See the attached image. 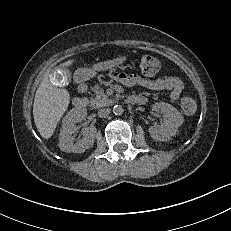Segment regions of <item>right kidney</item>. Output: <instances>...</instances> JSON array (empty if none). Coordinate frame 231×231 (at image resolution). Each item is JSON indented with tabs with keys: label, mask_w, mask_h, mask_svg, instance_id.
Listing matches in <instances>:
<instances>
[{
	"label": "right kidney",
	"mask_w": 231,
	"mask_h": 231,
	"mask_svg": "<svg viewBox=\"0 0 231 231\" xmlns=\"http://www.w3.org/2000/svg\"><path fill=\"white\" fill-rule=\"evenodd\" d=\"M85 116L86 112L73 108L64 117L58 144L62 151L82 153L93 146L96 135L95 126L84 128L82 131L83 138L77 143H74L72 139V134L76 131V123L81 122Z\"/></svg>",
	"instance_id": "ca27d5eb"
}]
</instances>
